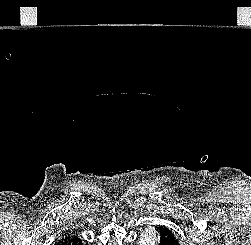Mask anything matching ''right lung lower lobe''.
<instances>
[{
    "mask_svg": "<svg viewBox=\"0 0 251 245\" xmlns=\"http://www.w3.org/2000/svg\"><path fill=\"white\" fill-rule=\"evenodd\" d=\"M56 245H83L82 241L76 237L71 235H66L62 237Z\"/></svg>",
    "mask_w": 251,
    "mask_h": 245,
    "instance_id": "98d812e1",
    "label": "right lung lower lobe"
}]
</instances>
